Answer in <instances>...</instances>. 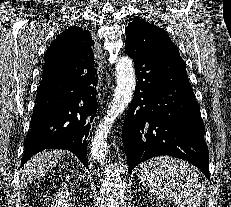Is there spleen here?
Listing matches in <instances>:
<instances>
[{
    "instance_id": "obj_1",
    "label": "spleen",
    "mask_w": 231,
    "mask_h": 207,
    "mask_svg": "<svg viewBox=\"0 0 231 207\" xmlns=\"http://www.w3.org/2000/svg\"><path fill=\"white\" fill-rule=\"evenodd\" d=\"M138 176L146 190L158 199H168L177 207H199L205 187L197 172L184 161L157 157L140 165Z\"/></svg>"
}]
</instances>
